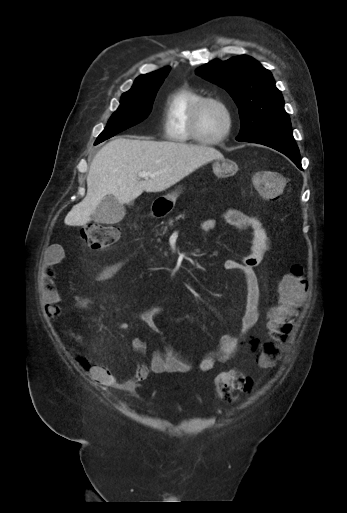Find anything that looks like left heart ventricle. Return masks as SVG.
Masks as SVG:
<instances>
[{
  "label": "left heart ventricle",
  "instance_id": "obj_1",
  "mask_svg": "<svg viewBox=\"0 0 347 513\" xmlns=\"http://www.w3.org/2000/svg\"><path fill=\"white\" fill-rule=\"evenodd\" d=\"M199 131L203 137L216 138L226 129L227 117L221 106L207 103L199 115Z\"/></svg>",
  "mask_w": 347,
  "mask_h": 513
}]
</instances>
